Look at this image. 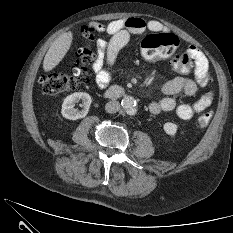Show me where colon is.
<instances>
[{
  "label": "colon",
  "instance_id": "5ec220e1",
  "mask_svg": "<svg viewBox=\"0 0 233 233\" xmlns=\"http://www.w3.org/2000/svg\"><path fill=\"white\" fill-rule=\"evenodd\" d=\"M92 29L86 28L84 35L87 43L78 53V63L69 73L51 71L40 78V85L45 94L55 95L77 89L88 78V65L93 60ZM179 40L171 33H153L144 38L141 44L142 54L148 61L157 59L169 60L172 68L180 74L191 73L194 69L193 61L186 51L178 50ZM212 118V113H202L196 119L198 128L206 127Z\"/></svg>",
  "mask_w": 233,
  "mask_h": 233
}]
</instances>
